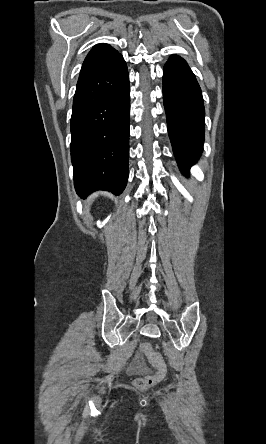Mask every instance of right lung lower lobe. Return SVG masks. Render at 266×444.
I'll use <instances>...</instances> for the list:
<instances>
[{
  "instance_id": "right-lung-lower-lobe-1",
  "label": "right lung lower lobe",
  "mask_w": 266,
  "mask_h": 444,
  "mask_svg": "<svg viewBox=\"0 0 266 444\" xmlns=\"http://www.w3.org/2000/svg\"><path fill=\"white\" fill-rule=\"evenodd\" d=\"M130 91L120 54L103 72L76 88L71 117V160L77 194L119 195L128 180Z\"/></svg>"
}]
</instances>
